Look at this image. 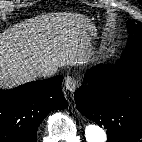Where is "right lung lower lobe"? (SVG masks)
<instances>
[{"label": "right lung lower lobe", "instance_id": "1", "mask_svg": "<svg viewBox=\"0 0 142 142\" xmlns=\"http://www.w3.org/2000/svg\"><path fill=\"white\" fill-rule=\"evenodd\" d=\"M62 79L57 75L0 90V142H36L37 129L47 114L68 106Z\"/></svg>", "mask_w": 142, "mask_h": 142}]
</instances>
